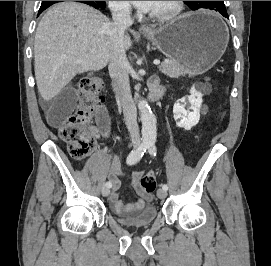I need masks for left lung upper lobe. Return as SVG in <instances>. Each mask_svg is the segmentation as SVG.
Wrapping results in <instances>:
<instances>
[{
  "instance_id": "1",
  "label": "left lung upper lobe",
  "mask_w": 271,
  "mask_h": 266,
  "mask_svg": "<svg viewBox=\"0 0 271 266\" xmlns=\"http://www.w3.org/2000/svg\"><path fill=\"white\" fill-rule=\"evenodd\" d=\"M192 10L201 8L211 9L218 12L226 11L223 1H184Z\"/></svg>"
}]
</instances>
